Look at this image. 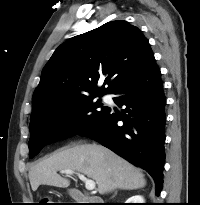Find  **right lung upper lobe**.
Instances as JSON below:
<instances>
[{
    "mask_svg": "<svg viewBox=\"0 0 200 205\" xmlns=\"http://www.w3.org/2000/svg\"><path fill=\"white\" fill-rule=\"evenodd\" d=\"M153 60L147 38L123 20L75 36L61 44L43 68L32 97L30 119L55 102L112 94ZM106 75L103 86L98 88V80Z\"/></svg>",
    "mask_w": 200,
    "mask_h": 205,
    "instance_id": "right-lung-upper-lobe-1",
    "label": "right lung upper lobe"
}]
</instances>
